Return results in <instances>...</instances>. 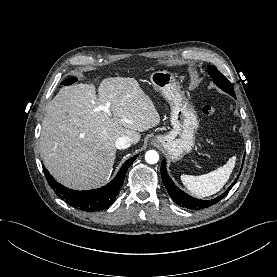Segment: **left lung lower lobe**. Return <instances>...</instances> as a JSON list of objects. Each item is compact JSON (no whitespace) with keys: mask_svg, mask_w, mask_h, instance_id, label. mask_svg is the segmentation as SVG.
Masks as SVG:
<instances>
[{"mask_svg":"<svg viewBox=\"0 0 277 277\" xmlns=\"http://www.w3.org/2000/svg\"><path fill=\"white\" fill-rule=\"evenodd\" d=\"M161 176H162L163 183H165V187L167 188V191L170 197L173 199V201L176 204L180 205L181 207H185L187 209H194V210L204 209L219 202L224 196L227 195V193L234 186V184L238 179L237 177L236 180L233 182V184L229 187V189L224 194L218 196L217 198L212 200H198L181 191L173 183V181L167 174L165 160H163L161 164Z\"/></svg>","mask_w":277,"mask_h":277,"instance_id":"0a47b994","label":"left lung lower lobe"}]
</instances>
